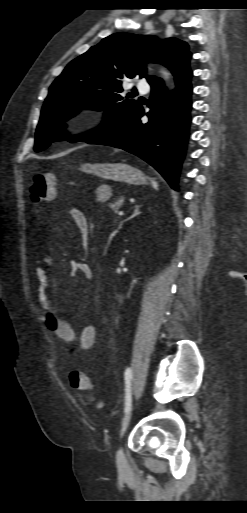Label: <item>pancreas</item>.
<instances>
[{"label": "pancreas", "instance_id": "1", "mask_svg": "<svg viewBox=\"0 0 247 513\" xmlns=\"http://www.w3.org/2000/svg\"><path fill=\"white\" fill-rule=\"evenodd\" d=\"M122 201H123V200H121V199H120L119 201H116V202H114L113 204L111 203V204L109 205V207H110V208H111L115 213H118V212H119V209H120V208H121V206H122ZM117 218H118V217H117Z\"/></svg>", "mask_w": 247, "mask_h": 513}]
</instances>
